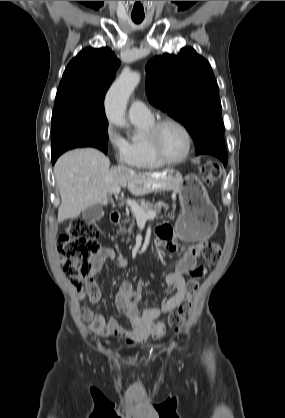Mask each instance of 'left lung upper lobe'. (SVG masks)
<instances>
[{"label": "left lung upper lobe", "mask_w": 285, "mask_h": 418, "mask_svg": "<svg viewBox=\"0 0 285 418\" xmlns=\"http://www.w3.org/2000/svg\"><path fill=\"white\" fill-rule=\"evenodd\" d=\"M149 102L181 122L194 139L196 155L216 152L227 163L219 88L209 62L191 47L147 63Z\"/></svg>", "instance_id": "obj_1"}]
</instances>
